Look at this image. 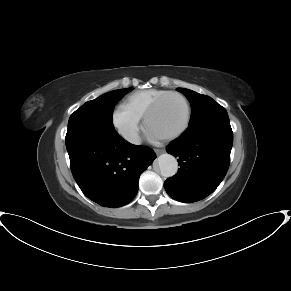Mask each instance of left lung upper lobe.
<instances>
[{"label": "left lung upper lobe", "mask_w": 291, "mask_h": 291, "mask_svg": "<svg viewBox=\"0 0 291 291\" xmlns=\"http://www.w3.org/2000/svg\"><path fill=\"white\" fill-rule=\"evenodd\" d=\"M177 90L183 93L191 103L192 114L187 130L198 128L214 118L227 115L226 109L211 97L185 88H177Z\"/></svg>", "instance_id": "obj_1"}]
</instances>
